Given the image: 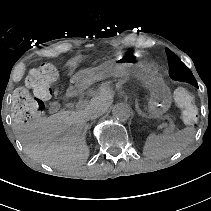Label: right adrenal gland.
<instances>
[{
	"mask_svg": "<svg viewBox=\"0 0 211 211\" xmlns=\"http://www.w3.org/2000/svg\"><path fill=\"white\" fill-rule=\"evenodd\" d=\"M92 124H93V122L91 124H89V129L91 128Z\"/></svg>",
	"mask_w": 211,
	"mask_h": 211,
	"instance_id": "obj_1",
	"label": "right adrenal gland"
}]
</instances>
